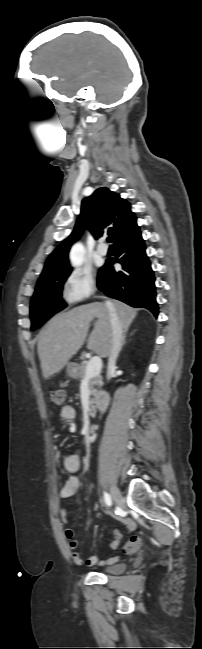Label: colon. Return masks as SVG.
<instances>
[{
	"instance_id": "colon-1",
	"label": "colon",
	"mask_w": 202,
	"mask_h": 649,
	"mask_svg": "<svg viewBox=\"0 0 202 649\" xmlns=\"http://www.w3.org/2000/svg\"><path fill=\"white\" fill-rule=\"evenodd\" d=\"M50 397L54 404L62 405L65 400V392L62 389L52 390L50 392ZM141 541H142V537L140 535H133L132 537H130V539L126 544V550L129 552L136 550L140 545Z\"/></svg>"
}]
</instances>
